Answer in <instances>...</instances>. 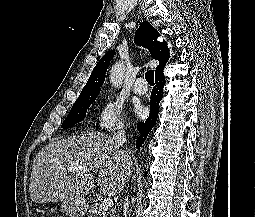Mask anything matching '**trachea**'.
<instances>
[{
    "instance_id": "1",
    "label": "trachea",
    "mask_w": 255,
    "mask_h": 217,
    "mask_svg": "<svg viewBox=\"0 0 255 217\" xmlns=\"http://www.w3.org/2000/svg\"><path fill=\"white\" fill-rule=\"evenodd\" d=\"M145 78H146V81L148 82V84L153 85L154 84V71L153 70L147 71L145 74Z\"/></svg>"
}]
</instances>
